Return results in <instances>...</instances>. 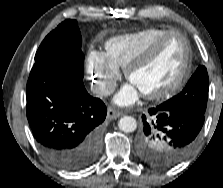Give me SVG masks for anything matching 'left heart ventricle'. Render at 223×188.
<instances>
[{
  "mask_svg": "<svg viewBox=\"0 0 223 188\" xmlns=\"http://www.w3.org/2000/svg\"><path fill=\"white\" fill-rule=\"evenodd\" d=\"M185 46L181 37H169L139 68L133 71L130 82L141 93L156 91L178 75L184 60Z\"/></svg>",
  "mask_w": 223,
  "mask_h": 188,
  "instance_id": "obj_1",
  "label": "left heart ventricle"
}]
</instances>
